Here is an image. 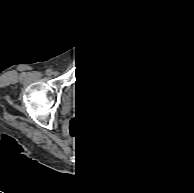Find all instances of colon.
<instances>
[{"label": "colon", "instance_id": "colon-1", "mask_svg": "<svg viewBox=\"0 0 194 193\" xmlns=\"http://www.w3.org/2000/svg\"><path fill=\"white\" fill-rule=\"evenodd\" d=\"M78 120V124H81ZM122 142V133L114 130L103 131L94 136L90 141V146L98 151H104L117 147Z\"/></svg>", "mask_w": 194, "mask_h": 193}]
</instances>
